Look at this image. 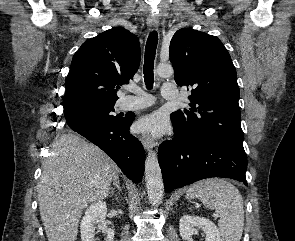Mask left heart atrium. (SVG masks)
Masks as SVG:
<instances>
[{
    "instance_id": "1",
    "label": "left heart atrium",
    "mask_w": 295,
    "mask_h": 241,
    "mask_svg": "<svg viewBox=\"0 0 295 241\" xmlns=\"http://www.w3.org/2000/svg\"><path fill=\"white\" fill-rule=\"evenodd\" d=\"M166 127V121L159 114H151L142 118L137 128L141 132L149 133L153 136H160L164 133Z\"/></svg>"
}]
</instances>
